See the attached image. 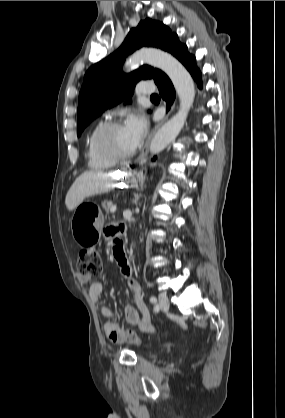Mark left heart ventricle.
Listing matches in <instances>:
<instances>
[{"label":"left heart ventricle","mask_w":285,"mask_h":418,"mask_svg":"<svg viewBox=\"0 0 285 418\" xmlns=\"http://www.w3.org/2000/svg\"><path fill=\"white\" fill-rule=\"evenodd\" d=\"M109 144L113 150L121 154H124L135 147L124 126L113 131L109 135Z\"/></svg>","instance_id":"b2bd125f"}]
</instances>
